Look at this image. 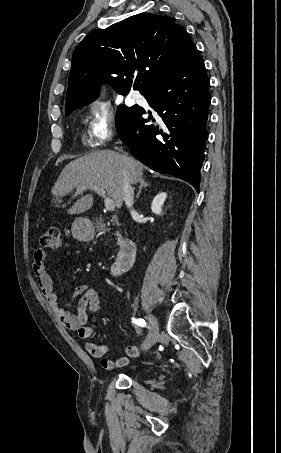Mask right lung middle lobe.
<instances>
[{
	"label": "right lung middle lobe",
	"instance_id": "1",
	"mask_svg": "<svg viewBox=\"0 0 281 453\" xmlns=\"http://www.w3.org/2000/svg\"><path fill=\"white\" fill-rule=\"evenodd\" d=\"M70 113H71V111H70V112H66V115H68V114H70Z\"/></svg>",
	"mask_w": 281,
	"mask_h": 453
}]
</instances>
